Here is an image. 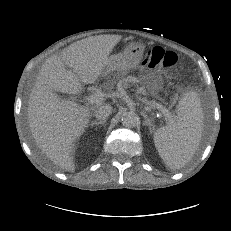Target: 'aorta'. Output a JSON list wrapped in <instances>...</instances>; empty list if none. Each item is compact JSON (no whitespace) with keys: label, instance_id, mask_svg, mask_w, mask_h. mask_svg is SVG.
<instances>
[{"label":"aorta","instance_id":"obj_1","mask_svg":"<svg viewBox=\"0 0 231 231\" xmlns=\"http://www.w3.org/2000/svg\"><path fill=\"white\" fill-rule=\"evenodd\" d=\"M138 116L135 112L129 111L122 115L121 121L123 126L132 128L135 127L138 123Z\"/></svg>","mask_w":231,"mask_h":231}]
</instances>
